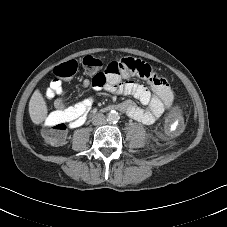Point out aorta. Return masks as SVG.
Listing matches in <instances>:
<instances>
[{
    "label": "aorta",
    "mask_w": 227,
    "mask_h": 227,
    "mask_svg": "<svg viewBox=\"0 0 227 227\" xmlns=\"http://www.w3.org/2000/svg\"><path fill=\"white\" fill-rule=\"evenodd\" d=\"M118 119H119V115L116 111H111L107 115V121H109V122L115 123L118 121Z\"/></svg>",
    "instance_id": "1"
}]
</instances>
